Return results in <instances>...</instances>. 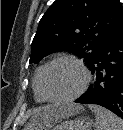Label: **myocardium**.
Segmentation results:
<instances>
[{"instance_id": "1", "label": "myocardium", "mask_w": 123, "mask_h": 130, "mask_svg": "<svg viewBox=\"0 0 123 130\" xmlns=\"http://www.w3.org/2000/svg\"><path fill=\"white\" fill-rule=\"evenodd\" d=\"M62 60L72 61L75 64H77L84 74V80L81 87L74 95L67 98H54V97H51L46 90V85H45L46 74H47L48 69L54 63L58 61H62ZM90 81H91V73L88 67L85 65V63L81 59L71 54H61V55L55 56L44 65L41 71L39 84H40L41 94L46 101L52 102L55 104H66V103H70L78 99L86 91V89L88 88L90 84Z\"/></svg>"}]
</instances>
